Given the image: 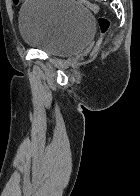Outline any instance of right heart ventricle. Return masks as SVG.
I'll use <instances>...</instances> for the list:
<instances>
[{"label":"right heart ventricle","mask_w":140,"mask_h":196,"mask_svg":"<svg viewBox=\"0 0 140 196\" xmlns=\"http://www.w3.org/2000/svg\"><path fill=\"white\" fill-rule=\"evenodd\" d=\"M8 192H16V191H8ZM30 192H36V191H30Z\"/></svg>","instance_id":"right-heart-ventricle-1"}]
</instances>
